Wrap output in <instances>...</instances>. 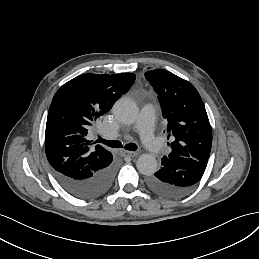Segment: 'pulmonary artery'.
<instances>
[{"mask_svg":"<svg viewBox=\"0 0 259 259\" xmlns=\"http://www.w3.org/2000/svg\"><path fill=\"white\" fill-rule=\"evenodd\" d=\"M151 113L153 116L156 114V108L153 107V106H144L138 116H137V119H143L147 116L148 113ZM118 132H115V131H106L102 134V137L104 139H115L118 137Z\"/></svg>","mask_w":259,"mask_h":259,"instance_id":"1","label":"pulmonary artery"}]
</instances>
